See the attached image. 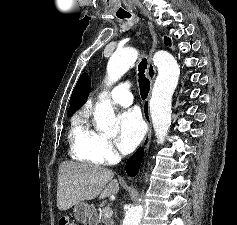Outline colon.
I'll return each mask as SVG.
<instances>
[{"label": "colon", "mask_w": 237, "mask_h": 225, "mask_svg": "<svg viewBox=\"0 0 237 225\" xmlns=\"http://www.w3.org/2000/svg\"><path fill=\"white\" fill-rule=\"evenodd\" d=\"M58 225H76V224L71 222L68 218L63 217L59 220Z\"/></svg>", "instance_id": "5ec220e1"}]
</instances>
